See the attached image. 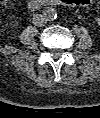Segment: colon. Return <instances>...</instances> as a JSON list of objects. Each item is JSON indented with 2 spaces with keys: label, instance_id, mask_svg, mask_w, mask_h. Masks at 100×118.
I'll use <instances>...</instances> for the list:
<instances>
[{
  "label": "colon",
  "instance_id": "colon-1",
  "mask_svg": "<svg viewBox=\"0 0 100 118\" xmlns=\"http://www.w3.org/2000/svg\"><path fill=\"white\" fill-rule=\"evenodd\" d=\"M92 2V0H67L66 3L68 4H78L80 3V5H89ZM10 3V0H0V4L2 8H6L8 6V4Z\"/></svg>",
  "mask_w": 100,
  "mask_h": 118
}]
</instances>
